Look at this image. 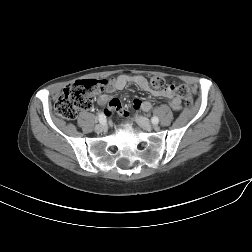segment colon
<instances>
[{
    "instance_id": "5ec220e1",
    "label": "colon",
    "mask_w": 252,
    "mask_h": 252,
    "mask_svg": "<svg viewBox=\"0 0 252 252\" xmlns=\"http://www.w3.org/2000/svg\"><path fill=\"white\" fill-rule=\"evenodd\" d=\"M106 81L96 79H84L76 81L64 88L62 94L55 103V112L64 119H74L79 110L88 107L92 96L100 92ZM150 85L154 89L166 88L164 78L154 76L150 79ZM169 87V86H168ZM173 87V86H172ZM174 88V87H173ZM187 107L193 105V98L187 86L180 85L174 88Z\"/></svg>"
}]
</instances>
